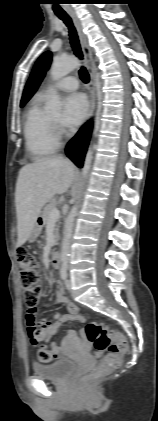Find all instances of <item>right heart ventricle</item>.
<instances>
[{
  "mask_svg": "<svg viewBox=\"0 0 158 421\" xmlns=\"http://www.w3.org/2000/svg\"><path fill=\"white\" fill-rule=\"evenodd\" d=\"M45 96L38 94L31 102L24 122V136L27 152L36 160L52 155L58 148L53 135L50 116L43 108Z\"/></svg>",
  "mask_w": 158,
  "mask_h": 421,
  "instance_id": "obj_1",
  "label": "right heart ventricle"
}]
</instances>
